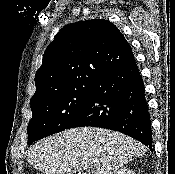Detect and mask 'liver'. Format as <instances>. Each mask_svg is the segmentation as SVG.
<instances>
[{
	"mask_svg": "<svg viewBox=\"0 0 175 174\" xmlns=\"http://www.w3.org/2000/svg\"><path fill=\"white\" fill-rule=\"evenodd\" d=\"M145 153L143 144L123 133L80 127L35 143L28 151L27 160L44 174H72L90 166L95 167L94 174H114Z\"/></svg>",
	"mask_w": 175,
	"mask_h": 174,
	"instance_id": "obj_1",
	"label": "liver"
}]
</instances>
